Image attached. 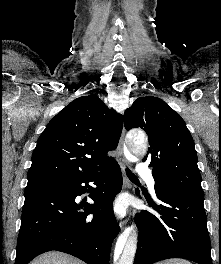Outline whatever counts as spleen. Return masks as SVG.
Masks as SVG:
<instances>
[{
    "mask_svg": "<svg viewBox=\"0 0 221 264\" xmlns=\"http://www.w3.org/2000/svg\"><path fill=\"white\" fill-rule=\"evenodd\" d=\"M157 264H191V263L184 259H169L167 261L159 262Z\"/></svg>",
    "mask_w": 221,
    "mask_h": 264,
    "instance_id": "3e777b00",
    "label": "spleen"
}]
</instances>
